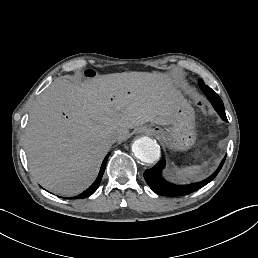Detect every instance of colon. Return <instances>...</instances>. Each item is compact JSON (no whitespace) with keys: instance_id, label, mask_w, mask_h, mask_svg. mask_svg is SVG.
Segmentation results:
<instances>
[{"instance_id":"1","label":"colon","mask_w":258,"mask_h":258,"mask_svg":"<svg viewBox=\"0 0 258 258\" xmlns=\"http://www.w3.org/2000/svg\"><path fill=\"white\" fill-rule=\"evenodd\" d=\"M83 75L86 77V78H94L97 76V72L93 69H88V70H85L83 72Z\"/></svg>"}]
</instances>
